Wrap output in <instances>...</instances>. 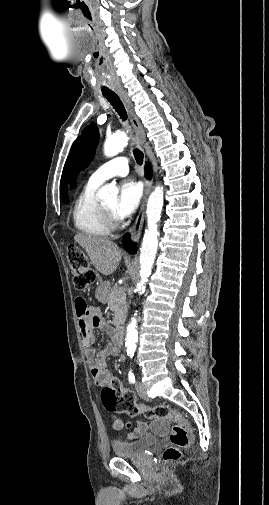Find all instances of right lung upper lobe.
<instances>
[{"instance_id":"1","label":"right lung upper lobe","mask_w":269,"mask_h":505,"mask_svg":"<svg viewBox=\"0 0 269 505\" xmlns=\"http://www.w3.org/2000/svg\"><path fill=\"white\" fill-rule=\"evenodd\" d=\"M66 167L67 163L65 164L63 173H62V179H61V184H60V193H61V198L63 201L68 200L67 196V180H66Z\"/></svg>"}]
</instances>
